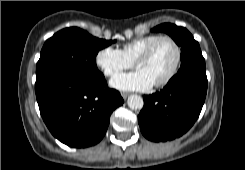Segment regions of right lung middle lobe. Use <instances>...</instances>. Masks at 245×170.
Instances as JSON below:
<instances>
[{"instance_id":"1","label":"right lung middle lobe","mask_w":245,"mask_h":170,"mask_svg":"<svg viewBox=\"0 0 245 170\" xmlns=\"http://www.w3.org/2000/svg\"><path fill=\"white\" fill-rule=\"evenodd\" d=\"M113 42L93 37L77 27L57 32L41 50L35 89L62 76L99 73L95 57L99 50Z\"/></svg>"}]
</instances>
